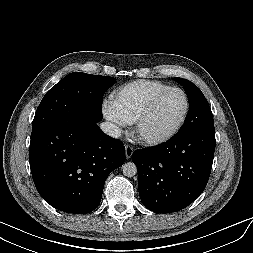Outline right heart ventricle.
Wrapping results in <instances>:
<instances>
[{"label":"right heart ventricle","mask_w":253,"mask_h":253,"mask_svg":"<svg viewBox=\"0 0 253 253\" xmlns=\"http://www.w3.org/2000/svg\"><path fill=\"white\" fill-rule=\"evenodd\" d=\"M170 87L158 80H137L120 87L113 103L126 124H133L148 101L158 92Z\"/></svg>","instance_id":"1"}]
</instances>
